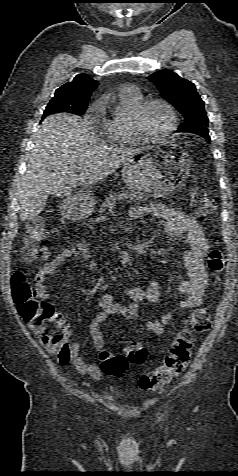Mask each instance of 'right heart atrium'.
<instances>
[{
    "mask_svg": "<svg viewBox=\"0 0 238 476\" xmlns=\"http://www.w3.org/2000/svg\"><path fill=\"white\" fill-rule=\"evenodd\" d=\"M97 108H98V104H95V105L91 108V111H95V110H97Z\"/></svg>",
    "mask_w": 238,
    "mask_h": 476,
    "instance_id": "d8ad5b80",
    "label": "right heart atrium"
}]
</instances>
